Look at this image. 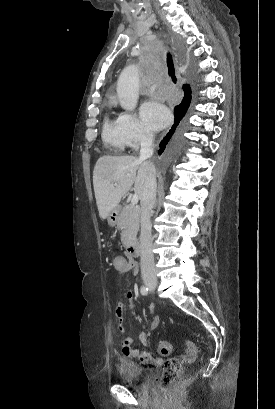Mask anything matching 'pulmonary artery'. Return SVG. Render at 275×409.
Wrapping results in <instances>:
<instances>
[{
  "label": "pulmonary artery",
  "mask_w": 275,
  "mask_h": 409,
  "mask_svg": "<svg viewBox=\"0 0 275 409\" xmlns=\"http://www.w3.org/2000/svg\"><path fill=\"white\" fill-rule=\"evenodd\" d=\"M156 90H157V87H156V86H152V87H151V90H150V93H151V94H155V93H156Z\"/></svg>",
  "instance_id": "obj_1"
}]
</instances>
